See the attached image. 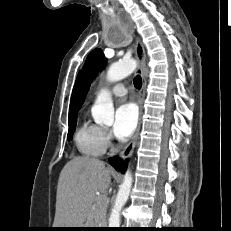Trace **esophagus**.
Instances as JSON below:
<instances>
[{
	"mask_svg": "<svg viewBox=\"0 0 231 231\" xmlns=\"http://www.w3.org/2000/svg\"><path fill=\"white\" fill-rule=\"evenodd\" d=\"M135 57L137 60V68H136V74L141 75L143 84L141 87V90L139 92V119H138V125L136 128V131L131 138V140L128 142V144L124 147V149L121 151L119 154V157L122 160H125L128 158L134 151L138 135L140 132L141 128V118L143 114V101L145 97V87H146V80H145V69H146V54H145V49L143 46V43L139 37L136 38L135 40Z\"/></svg>",
	"mask_w": 231,
	"mask_h": 231,
	"instance_id": "1",
	"label": "esophagus"
}]
</instances>
